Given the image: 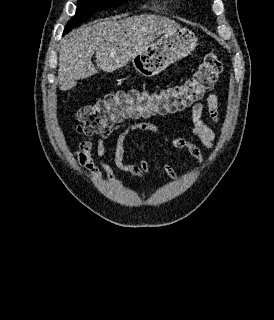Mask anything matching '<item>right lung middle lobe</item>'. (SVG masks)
<instances>
[{
	"label": "right lung middle lobe",
	"instance_id": "obj_1",
	"mask_svg": "<svg viewBox=\"0 0 274 320\" xmlns=\"http://www.w3.org/2000/svg\"><path fill=\"white\" fill-rule=\"evenodd\" d=\"M127 0H78L76 15L67 23L63 35L88 20L92 14L123 5Z\"/></svg>",
	"mask_w": 274,
	"mask_h": 320
}]
</instances>
